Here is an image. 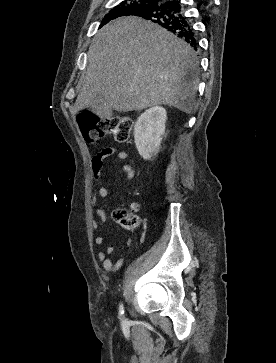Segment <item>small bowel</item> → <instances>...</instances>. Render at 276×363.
I'll return each instance as SVG.
<instances>
[{
  "label": "small bowel",
  "mask_w": 276,
  "mask_h": 363,
  "mask_svg": "<svg viewBox=\"0 0 276 363\" xmlns=\"http://www.w3.org/2000/svg\"><path fill=\"white\" fill-rule=\"evenodd\" d=\"M109 157H116L119 160H128L129 164L121 165L120 169L123 173V177L126 180L133 178L134 176V166L135 162L130 154L123 150H118L115 147H106L94 155L91 159V170L93 177L96 181V186L93 193V203L96 205L97 197L105 198L108 191L103 183V167L104 161ZM139 210V205L137 203H132L130 205L131 212H137ZM106 218V212L103 208L96 207V217L92 219L91 224L94 229L99 228ZM95 243L97 245H102L104 243V238L102 236L95 237ZM131 244V239L127 241V245ZM114 246H107L105 249L101 250L97 254V258L103 264V268L107 272L119 270L124 264V257H119L117 260L113 261L111 255L114 253Z\"/></svg>",
  "instance_id": "c3829d8e"
}]
</instances>
